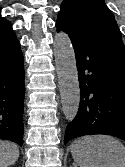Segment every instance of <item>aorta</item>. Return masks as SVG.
I'll return each instance as SVG.
<instances>
[{
	"label": "aorta",
	"mask_w": 125,
	"mask_h": 167,
	"mask_svg": "<svg viewBox=\"0 0 125 167\" xmlns=\"http://www.w3.org/2000/svg\"><path fill=\"white\" fill-rule=\"evenodd\" d=\"M62 110L65 118L72 121L78 112L80 88L74 49L69 36L64 32L55 35L53 43Z\"/></svg>",
	"instance_id": "1"
}]
</instances>
